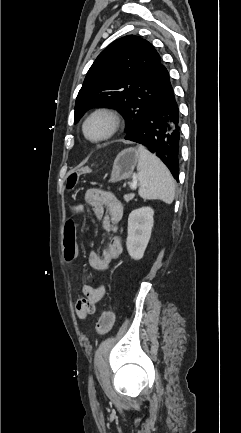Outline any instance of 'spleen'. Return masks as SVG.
Returning <instances> with one entry per match:
<instances>
[{"instance_id": "1", "label": "spleen", "mask_w": 241, "mask_h": 433, "mask_svg": "<svg viewBox=\"0 0 241 433\" xmlns=\"http://www.w3.org/2000/svg\"><path fill=\"white\" fill-rule=\"evenodd\" d=\"M139 196L144 200H161L171 204L175 197V181L164 165L155 155L145 147H138Z\"/></svg>"}]
</instances>
